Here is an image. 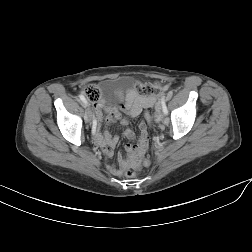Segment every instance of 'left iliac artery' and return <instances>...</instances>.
Returning a JSON list of instances; mask_svg holds the SVG:
<instances>
[{
  "mask_svg": "<svg viewBox=\"0 0 252 252\" xmlns=\"http://www.w3.org/2000/svg\"><path fill=\"white\" fill-rule=\"evenodd\" d=\"M160 103H161V105H162L164 114L167 115V114H168V110H167L166 103H165V96H163V97L161 98Z\"/></svg>",
  "mask_w": 252,
  "mask_h": 252,
  "instance_id": "left-iliac-artery-1",
  "label": "left iliac artery"
}]
</instances>
